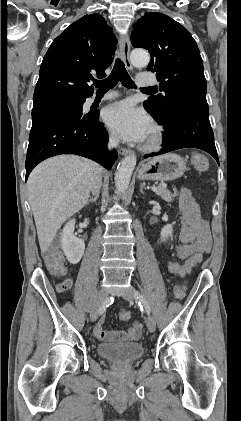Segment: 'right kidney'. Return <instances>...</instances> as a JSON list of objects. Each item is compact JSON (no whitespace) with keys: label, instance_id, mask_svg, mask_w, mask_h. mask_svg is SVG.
<instances>
[{"label":"right kidney","instance_id":"ca27d5eb","mask_svg":"<svg viewBox=\"0 0 241 421\" xmlns=\"http://www.w3.org/2000/svg\"><path fill=\"white\" fill-rule=\"evenodd\" d=\"M74 229L75 219H72L64 226L60 241L62 250L71 264H77L85 250L84 241L74 235Z\"/></svg>","mask_w":241,"mask_h":421}]
</instances>
